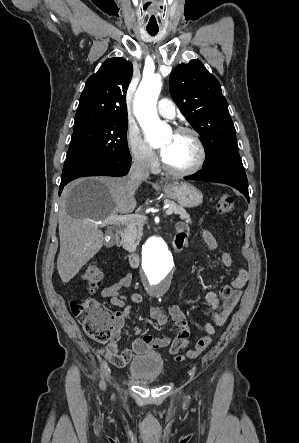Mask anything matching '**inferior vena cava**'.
Returning <instances> with one entry per match:
<instances>
[{
    "mask_svg": "<svg viewBox=\"0 0 299 443\" xmlns=\"http://www.w3.org/2000/svg\"><path fill=\"white\" fill-rule=\"evenodd\" d=\"M150 174V163L146 156H137L133 160V164L128 174L126 182L127 191L133 195L142 181L148 179Z\"/></svg>",
    "mask_w": 299,
    "mask_h": 443,
    "instance_id": "obj_1",
    "label": "inferior vena cava"
}]
</instances>
